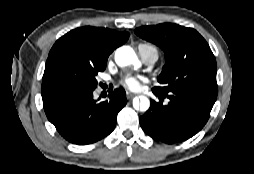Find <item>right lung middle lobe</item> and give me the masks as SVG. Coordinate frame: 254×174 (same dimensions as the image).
Masks as SVG:
<instances>
[{"label":"right lung middle lobe","instance_id":"dd1d6c3e","mask_svg":"<svg viewBox=\"0 0 254 174\" xmlns=\"http://www.w3.org/2000/svg\"><path fill=\"white\" fill-rule=\"evenodd\" d=\"M106 64H93L70 52H59L47 59L42 80V99L97 87L96 75Z\"/></svg>","mask_w":254,"mask_h":174}]
</instances>
